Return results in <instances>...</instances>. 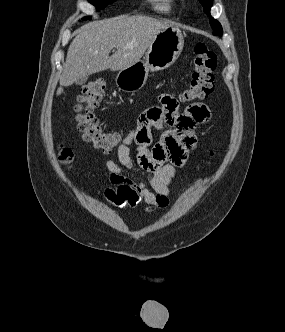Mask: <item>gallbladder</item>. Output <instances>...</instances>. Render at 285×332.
<instances>
[{"label": "gallbladder", "instance_id": "gallbladder-1", "mask_svg": "<svg viewBox=\"0 0 285 332\" xmlns=\"http://www.w3.org/2000/svg\"><path fill=\"white\" fill-rule=\"evenodd\" d=\"M87 81V77H81L75 81L76 85H83Z\"/></svg>", "mask_w": 285, "mask_h": 332}]
</instances>
